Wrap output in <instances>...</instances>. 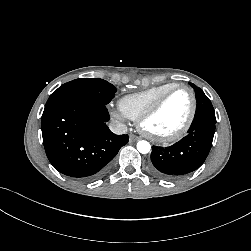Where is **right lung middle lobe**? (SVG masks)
I'll use <instances>...</instances> for the list:
<instances>
[{
    "label": "right lung middle lobe",
    "instance_id": "1",
    "mask_svg": "<svg viewBox=\"0 0 251 251\" xmlns=\"http://www.w3.org/2000/svg\"><path fill=\"white\" fill-rule=\"evenodd\" d=\"M115 92L116 88L103 79L80 78L61 85L50 95L46 104L64 98H80L107 105Z\"/></svg>",
    "mask_w": 251,
    "mask_h": 251
}]
</instances>
